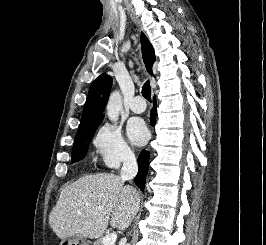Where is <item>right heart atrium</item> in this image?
<instances>
[{
  "instance_id": "right-heart-atrium-1",
  "label": "right heart atrium",
  "mask_w": 266,
  "mask_h": 245,
  "mask_svg": "<svg viewBox=\"0 0 266 245\" xmlns=\"http://www.w3.org/2000/svg\"><path fill=\"white\" fill-rule=\"evenodd\" d=\"M92 144L100 163L106 169H117L121 164L135 159L132 147L115 124L106 122L100 125L93 135Z\"/></svg>"
}]
</instances>
